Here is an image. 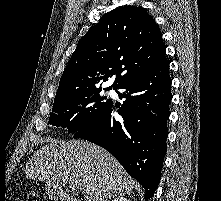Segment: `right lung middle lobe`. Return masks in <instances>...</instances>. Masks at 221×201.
<instances>
[{
    "label": "right lung middle lobe",
    "instance_id": "1",
    "mask_svg": "<svg viewBox=\"0 0 221 201\" xmlns=\"http://www.w3.org/2000/svg\"><path fill=\"white\" fill-rule=\"evenodd\" d=\"M101 88L88 89L56 98L49 124L77 132L99 118L112 101L102 97ZM109 90V89H107Z\"/></svg>",
    "mask_w": 221,
    "mask_h": 201
}]
</instances>
